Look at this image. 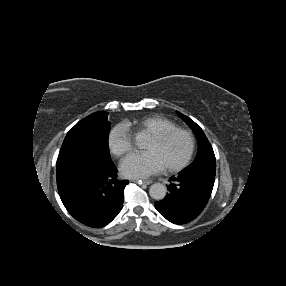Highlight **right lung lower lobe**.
Here are the masks:
<instances>
[{
	"label": "right lung lower lobe",
	"instance_id": "1",
	"mask_svg": "<svg viewBox=\"0 0 286 286\" xmlns=\"http://www.w3.org/2000/svg\"><path fill=\"white\" fill-rule=\"evenodd\" d=\"M112 160L94 157L69 159L57 165L56 179L62 203L79 222L99 228L121 211L127 180H119Z\"/></svg>",
	"mask_w": 286,
	"mask_h": 286
}]
</instances>
